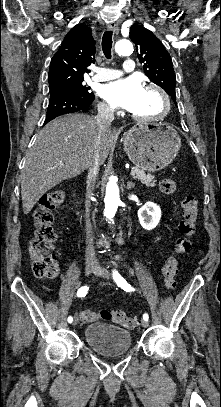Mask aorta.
Returning <instances> with one entry per match:
<instances>
[{
  "label": "aorta",
  "mask_w": 221,
  "mask_h": 407,
  "mask_svg": "<svg viewBox=\"0 0 221 407\" xmlns=\"http://www.w3.org/2000/svg\"><path fill=\"white\" fill-rule=\"evenodd\" d=\"M115 51L120 56L129 55L133 52V45L129 40H120L115 45ZM104 202V215L108 220H112L120 202L119 188L113 177H111L107 183Z\"/></svg>",
  "instance_id": "1"
}]
</instances>
